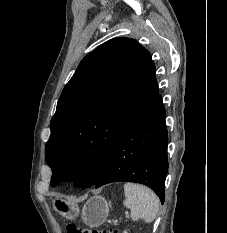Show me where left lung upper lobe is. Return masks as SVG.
Wrapping results in <instances>:
<instances>
[{
	"instance_id": "left-lung-upper-lobe-1",
	"label": "left lung upper lobe",
	"mask_w": 227,
	"mask_h": 233,
	"mask_svg": "<svg viewBox=\"0 0 227 233\" xmlns=\"http://www.w3.org/2000/svg\"><path fill=\"white\" fill-rule=\"evenodd\" d=\"M158 95L155 65L137 41L114 38L84 57L51 119V186L96 185L121 134Z\"/></svg>"
}]
</instances>
